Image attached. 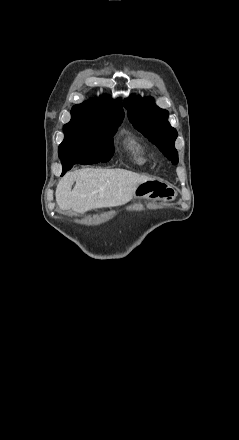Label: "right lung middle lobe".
<instances>
[{
	"label": "right lung middle lobe",
	"instance_id": "1",
	"mask_svg": "<svg viewBox=\"0 0 239 440\" xmlns=\"http://www.w3.org/2000/svg\"><path fill=\"white\" fill-rule=\"evenodd\" d=\"M120 124L95 119L71 118L64 125V140L59 151L70 147L95 146L113 150V135Z\"/></svg>",
	"mask_w": 239,
	"mask_h": 440
}]
</instances>
